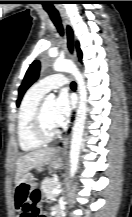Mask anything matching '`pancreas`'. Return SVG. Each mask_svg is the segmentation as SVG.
Wrapping results in <instances>:
<instances>
[{"instance_id":"cf45deb5","label":"pancreas","mask_w":132,"mask_h":217,"mask_svg":"<svg viewBox=\"0 0 132 217\" xmlns=\"http://www.w3.org/2000/svg\"><path fill=\"white\" fill-rule=\"evenodd\" d=\"M60 186L59 179L57 177L49 178L46 177L41 183L42 192L45 194L46 198L53 199L58 196V194H53L52 191Z\"/></svg>"}]
</instances>
